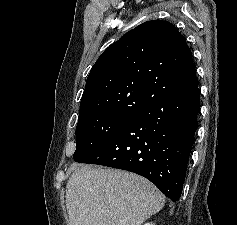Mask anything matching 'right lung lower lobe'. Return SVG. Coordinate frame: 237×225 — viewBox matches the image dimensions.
Returning <instances> with one entry per match:
<instances>
[{
  "label": "right lung lower lobe",
  "mask_w": 237,
  "mask_h": 225,
  "mask_svg": "<svg viewBox=\"0 0 237 225\" xmlns=\"http://www.w3.org/2000/svg\"><path fill=\"white\" fill-rule=\"evenodd\" d=\"M199 98L195 85L148 105L77 162L134 172L177 201L198 127Z\"/></svg>",
  "instance_id": "right-lung-lower-lobe-1"
}]
</instances>
